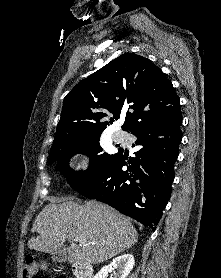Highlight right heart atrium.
<instances>
[{
  "instance_id": "right-heart-atrium-1",
  "label": "right heart atrium",
  "mask_w": 221,
  "mask_h": 278,
  "mask_svg": "<svg viewBox=\"0 0 221 278\" xmlns=\"http://www.w3.org/2000/svg\"><path fill=\"white\" fill-rule=\"evenodd\" d=\"M69 166L77 174L86 175L91 170L89 156L81 151H75L69 156Z\"/></svg>"
}]
</instances>
